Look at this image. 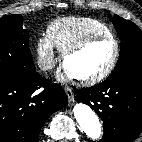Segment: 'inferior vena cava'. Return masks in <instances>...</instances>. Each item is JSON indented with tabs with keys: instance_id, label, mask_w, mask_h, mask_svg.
I'll return each mask as SVG.
<instances>
[{
	"instance_id": "602c4592",
	"label": "inferior vena cava",
	"mask_w": 142,
	"mask_h": 142,
	"mask_svg": "<svg viewBox=\"0 0 142 142\" xmlns=\"http://www.w3.org/2000/svg\"><path fill=\"white\" fill-rule=\"evenodd\" d=\"M53 66H54V63H53V61H50V60L41 62L39 64V67H40L41 70H49V69H52Z\"/></svg>"
}]
</instances>
